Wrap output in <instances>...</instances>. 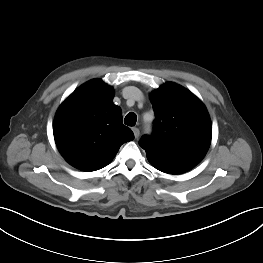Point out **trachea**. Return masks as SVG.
<instances>
[{"mask_svg": "<svg viewBox=\"0 0 263 263\" xmlns=\"http://www.w3.org/2000/svg\"><path fill=\"white\" fill-rule=\"evenodd\" d=\"M136 121H137V116L133 112L128 113L124 119V123L128 126H135Z\"/></svg>", "mask_w": 263, "mask_h": 263, "instance_id": "trachea-1", "label": "trachea"}]
</instances>
